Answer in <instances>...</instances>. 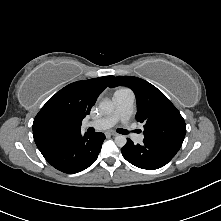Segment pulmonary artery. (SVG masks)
<instances>
[{
    "mask_svg": "<svg viewBox=\"0 0 221 221\" xmlns=\"http://www.w3.org/2000/svg\"><path fill=\"white\" fill-rule=\"evenodd\" d=\"M113 102L115 104V110L111 115L85 122L83 124V128L92 127L97 130H105L112 127L118 121H121L124 125H127V122L132 114L134 103L133 93L130 90L115 92ZM130 135L136 143H140L144 139L142 134H137L130 131Z\"/></svg>",
    "mask_w": 221,
    "mask_h": 221,
    "instance_id": "e3ab8cb5",
    "label": "pulmonary artery"
}]
</instances>
